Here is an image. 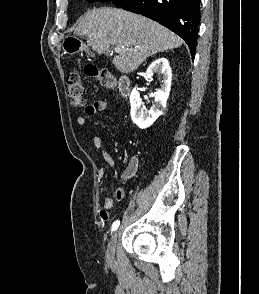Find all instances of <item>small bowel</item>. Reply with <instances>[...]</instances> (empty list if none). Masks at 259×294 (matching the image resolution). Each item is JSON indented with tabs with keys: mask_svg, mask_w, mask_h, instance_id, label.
Masks as SVG:
<instances>
[{
	"mask_svg": "<svg viewBox=\"0 0 259 294\" xmlns=\"http://www.w3.org/2000/svg\"><path fill=\"white\" fill-rule=\"evenodd\" d=\"M106 102L104 100H95L94 102L88 104L85 107V115L86 116H94L97 113L103 111L106 109ZM86 116L84 115H78L76 118V121L79 125H84L86 123ZM92 145L94 146V148L99 151L104 159V161L108 164L109 167L113 168L115 165V162L113 160V158L110 156V154L104 149L103 146V142H102V138L99 134H94L91 135L90 137ZM138 167V160L136 157H133L127 168L125 169V171L123 172L122 176H121V183H124L126 180H128L129 178H131ZM97 176L99 179H103L105 177V170L104 169H99ZM116 199L118 201H122L124 198V190L122 187H118L116 189ZM113 207V200L110 197H105L102 200L101 203V209L99 211V218L102 221H107L109 219V210Z\"/></svg>",
	"mask_w": 259,
	"mask_h": 294,
	"instance_id": "small-bowel-1",
	"label": "small bowel"
}]
</instances>
